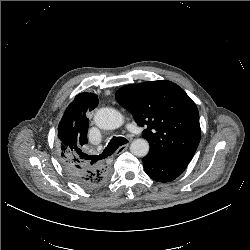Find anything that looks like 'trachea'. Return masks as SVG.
<instances>
[{"mask_svg": "<svg viewBox=\"0 0 250 250\" xmlns=\"http://www.w3.org/2000/svg\"><path fill=\"white\" fill-rule=\"evenodd\" d=\"M126 143H128V140L126 138L113 136L112 139L110 140L108 146L103 151V153L99 154L97 156H94L93 158L96 160L104 159V158L112 155L119 148V146H122Z\"/></svg>", "mask_w": 250, "mask_h": 250, "instance_id": "3493384b", "label": "trachea"}]
</instances>
